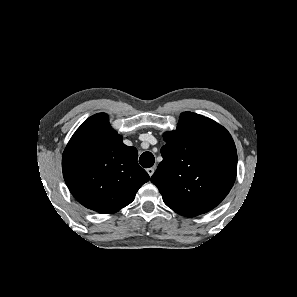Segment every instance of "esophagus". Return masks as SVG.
Here are the masks:
<instances>
[{"label":"esophagus","mask_w":297,"mask_h":297,"mask_svg":"<svg viewBox=\"0 0 297 297\" xmlns=\"http://www.w3.org/2000/svg\"><path fill=\"white\" fill-rule=\"evenodd\" d=\"M146 171L149 174V176L151 177L153 175L155 169L153 167H151V168H148Z\"/></svg>","instance_id":"obj_1"}]
</instances>
